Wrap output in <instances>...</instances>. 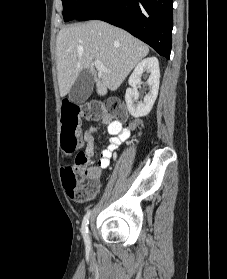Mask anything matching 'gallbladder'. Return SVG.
I'll return each instance as SVG.
<instances>
[{"label": "gallbladder", "mask_w": 227, "mask_h": 279, "mask_svg": "<svg viewBox=\"0 0 227 279\" xmlns=\"http://www.w3.org/2000/svg\"><path fill=\"white\" fill-rule=\"evenodd\" d=\"M94 87V77L89 71H82L69 91V100L74 104L84 103Z\"/></svg>", "instance_id": "obj_1"}]
</instances>
